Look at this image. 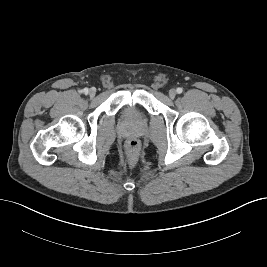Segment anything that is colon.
Instances as JSON below:
<instances>
[{
    "instance_id": "colon-1",
    "label": "colon",
    "mask_w": 267,
    "mask_h": 267,
    "mask_svg": "<svg viewBox=\"0 0 267 267\" xmlns=\"http://www.w3.org/2000/svg\"><path fill=\"white\" fill-rule=\"evenodd\" d=\"M139 143L136 140H130L127 144V155L131 161H135L139 154Z\"/></svg>"
}]
</instances>
